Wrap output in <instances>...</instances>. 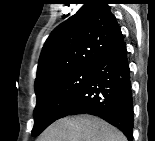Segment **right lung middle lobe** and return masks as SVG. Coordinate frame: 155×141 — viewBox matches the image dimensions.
<instances>
[{"label": "right lung middle lobe", "mask_w": 155, "mask_h": 141, "mask_svg": "<svg viewBox=\"0 0 155 141\" xmlns=\"http://www.w3.org/2000/svg\"><path fill=\"white\" fill-rule=\"evenodd\" d=\"M93 69L76 68L61 72L35 86L37 103L34 109L32 136H38L59 119L62 111L84 87Z\"/></svg>", "instance_id": "obj_1"}]
</instances>
